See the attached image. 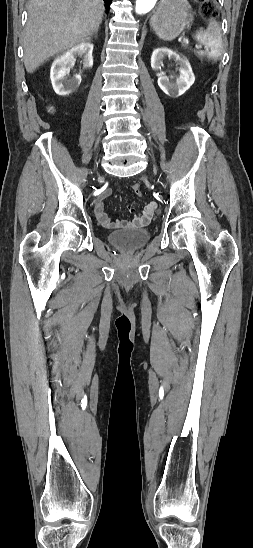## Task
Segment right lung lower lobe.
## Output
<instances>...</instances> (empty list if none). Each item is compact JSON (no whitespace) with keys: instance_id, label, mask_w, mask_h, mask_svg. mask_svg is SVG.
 I'll return each instance as SVG.
<instances>
[{"instance_id":"1","label":"right lung lower lobe","mask_w":253,"mask_h":548,"mask_svg":"<svg viewBox=\"0 0 253 548\" xmlns=\"http://www.w3.org/2000/svg\"><path fill=\"white\" fill-rule=\"evenodd\" d=\"M107 8H109V5L111 4L112 0H104Z\"/></svg>"}]
</instances>
